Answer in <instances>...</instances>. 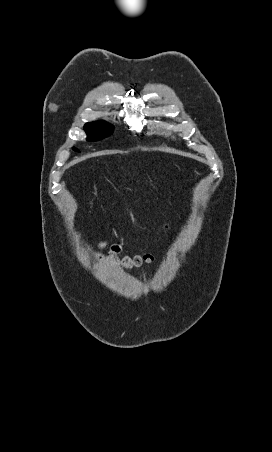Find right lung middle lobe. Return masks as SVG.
Here are the masks:
<instances>
[{
    "instance_id": "right-lung-middle-lobe-1",
    "label": "right lung middle lobe",
    "mask_w": 272,
    "mask_h": 452,
    "mask_svg": "<svg viewBox=\"0 0 272 452\" xmlns=\"http://www.w3.org/2000/svg\"><path fill=\"white\" fill-rule=\"evenodd\" d=\"M84 130L88 135L87 140L95 141L110 135L113 131V126L105 122H94L85 124ZM73 150L78 151L76 148H73Z\"/></svg>"
}]
</instances>
